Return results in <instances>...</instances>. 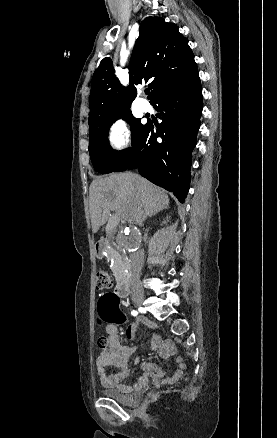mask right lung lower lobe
<instances>
[{"label": "right lung lower lobe", "mask_w": 277, "mask_h": 438, "mask_svg": "<svg viewBox=\"0 0 277 438\" xmlns=\"http://www.w3.org/2000/svg\"><path fill=\"white\" fill-rule=\"evenodd\" d=\"M202 101L198 69L160 89L150 102L162 122L157 127L152 122L145 124L132 152L113 172L137 168L143 177L173 192L183 203L190 185L191 153Z\"/></svg>", "instance_id": "1"}]
</instances>
